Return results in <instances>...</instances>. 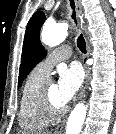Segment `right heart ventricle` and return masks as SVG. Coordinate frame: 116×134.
Segmentation results:
<instances>
[{
    "label": "right heart ventricle",
    "instance_id": "right-heart-ventricle-1",
    "mask_svg": "<svg viewBox=\"0 0 116 134\" xmlns=\"http://www.w3.org/2000/svg\"><path fill=\"white\" fill-rule=\"evenodd\" d=\"M46 78V74L35 68L29 73L22 87L18 122L21 129L25 131L37 132L44 130L54 120L38 104V93Z\"/></svg>",
    "mask_w": 116,
    "mask_h": 134
}]
</instances>
